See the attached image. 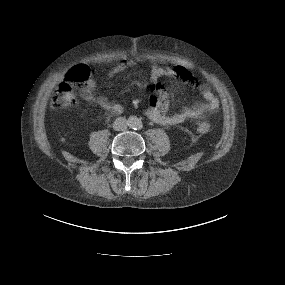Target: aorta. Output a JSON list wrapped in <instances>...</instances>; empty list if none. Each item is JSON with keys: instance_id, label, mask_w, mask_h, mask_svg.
Here are the masks:
<instances>
[{"instance_id": "762f6f07", "label": "aorta", "mask_w": 285, "mask_h": 285, "mask_svg": "<svg viewBox=\"0 0 285 285\" xmlns=\"http://www.w3.org/2000/svg\"><path fill=\"white\" fill-rule=\"evenodd\" d=\"M127 122H128L129 127L132 129H139L142 126L141 120L137 118L136 116H130Z\"/></svg>"}]
</instances>
